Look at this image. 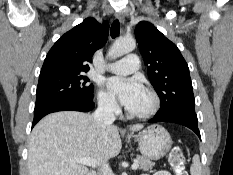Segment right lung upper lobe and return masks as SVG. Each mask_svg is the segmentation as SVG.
<instances>
[{"instance_id":"obj_1","label":"right lung upper lobe","mask_w":233,"mask_h":175,"mask_svg":"<svg viewBox=\"0 0 233 175\" xmlns=\"http://www.w3.org/2000/svg\"><path fill=\"white\" fill-rule=\"evenodd\" d=\"M108 32L107 21L100 24L92 17L86 18L53 45L45 58L39 78L87 72L93 54L105 45Z\"/></svg>"}]
</instances>
